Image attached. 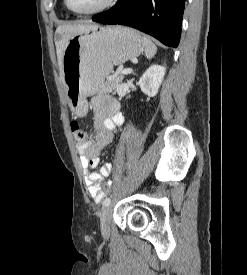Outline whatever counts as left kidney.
<instances>
[{"instance_id": "1", "label": "left kidney", "mask_w": 247, "mask_h": 275, "mask_svg": "<svg viewBox=\"0 0 247 275\" xmlns=\"http://www.w3.org/2000/svg\"><path fill=\"white\" fill-rule=\"evenodd\" d=\"M166 68L161 65H152L142 75L139 86L143 93L149 97H154L164 79Z\"/></svg>"}]
</instances>
